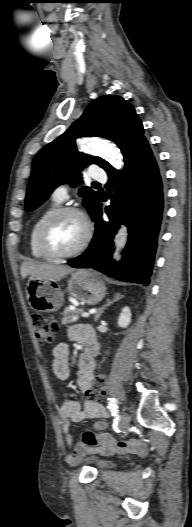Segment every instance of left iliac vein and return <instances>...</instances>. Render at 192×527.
<instances>
[{"instance_id": "1", "label": "left iliac vein", "mask_w": 192, "mask_h": 527, "mask_svg": "<svg viewBox=\"0 0 192 527\" xmlns=\"http://www.w3.org/2000/svg\"><path fill=\"white\" fill-rule=\"evenodd\" d=\"M129 422H130L129 415L125 411H123L120 417V429L122 431H125L129 426Z\"/></svg>"}]
</instances>
